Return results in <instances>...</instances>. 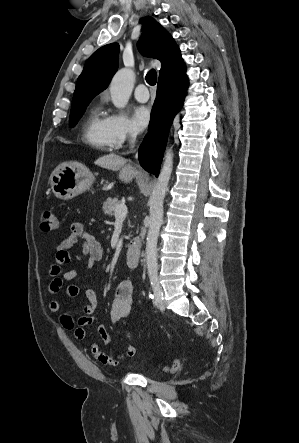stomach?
Segmentation results:
<instances>
[{
	"label": "stomach",
	"instance_id": "0dacf381",
	"mask_svg": "<svg viewBox=\"0 0 299 443\" xmlns=\"http://www.w3.org/2000/svg\"><path fill=\"white\" fill-rule=\"evenodd\" d=\"M90 170L80 163H64L51 174V189L61 200L72 199L90 189L94 182Z\"/></svg>",
	"mask_w": 299,
	"mask_h": 443
}]
</instances>
